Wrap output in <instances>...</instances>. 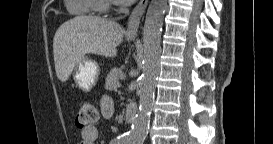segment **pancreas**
Instances as JSON below:
<instances>
[{"mask_svg":"<svg viewBox=\"0 0 273 144\" xmlns=\"http://www.w3.org/2000/svg\"><path fill=\"white\" fill-rule=\"evenodd\" d=\"M120 75L119 69L113 68L106 77L105 88L110 91L116 90L119 87Z\"/></svg>","mask_w":273,"mask_h":144,"instance_id":"cf45deb5","label":"pancreas"}]
</instances>
